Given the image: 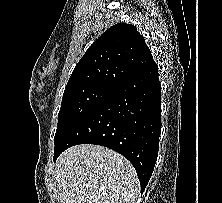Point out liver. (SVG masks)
Wrapping results in <instances>:
<instances>
[{
  "label": "liver",
  "mask_w": 222,
  "mask_h": 203,
  "mask_svg": "<svg viewBox=\"0 0 222 203\" xmlns=\"http://www.w3.org/2000/svg\"><path fill=\"white\" fill-rule=\"evenodd\" d=\"M59 203H136L140 183L132 164L96 145L68 148L54 173Z\"/></svg>",
  "instance_id": "6515ba94"
}]
</instances>
